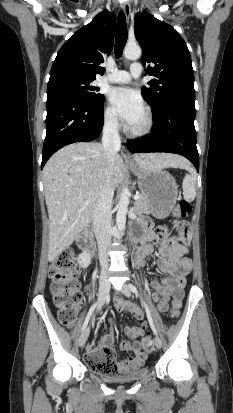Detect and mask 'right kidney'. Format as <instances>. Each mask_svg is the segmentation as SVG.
Instances as JSON below:
<instances>
[{
  "instance_id": "right-kidney-1",
  "label": "right kidney",
  "mask_w": 233,
  "mask_h": 413,
  "mask_svg": "<svg viewBox=\"0 0 233 413\" xmlns=\"http://www.w3.org/2000/svg\"><path fill=\"white\" fill-rule=\"evenodd\" d=\"M77 262L79 264L80 267L82 268H86L90 265L91 263V256L89 253H87L86 251H84L83 253H81L78 258H77Z\"/></svg>"
}]
</instances>
